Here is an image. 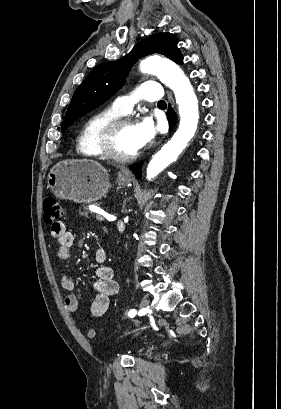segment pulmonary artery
<instances>
[{"mask_svg":"<svg viewBox=\"0 0 281 409\" xmlns=\"http://www.w3.org/2000/svg\"><path fill=\"white\" fill-rule=\"evenodd\" d=\"M142 90H138L135 96L138 99H147L149 102L159 103L161 101L160 94L162 88L158 81H142L139 84ZM137 100L132 97H116L113 104V109L118 114H125L129 110L128 106L135 105Z\"/></svg>","mask_w":281,"mask_h":409,"instance_id":"1","label":"pulmonary artery"}]
</instances>
